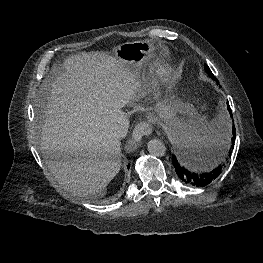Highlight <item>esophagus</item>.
I'll return each instance as SVG.
<instances>
[{
	"label": "esophagus",
	"mask_w": 263,
	"mask_h": 263,
	"mask_svg": "<svg viewBox=\"0 0 263 263\" xmlns=\"http://www.w3.org/2000/svg\"><path fill=\"white\" fill-rule=\"evenodd\" d=\"M152 132V126L149 122L147 121H141L137 123L133 130V136L131 139L132 144H138L143 136H148Z\"/></svg>",
	"instance_id": "34e87169"
}]
</instances>
